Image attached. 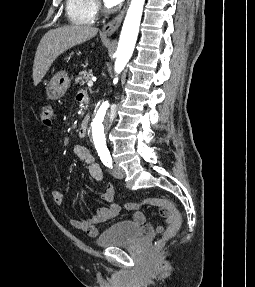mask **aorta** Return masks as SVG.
<instances>
[{
  "label": "aorta",
  "mask_w": 255,
  "mask_h": 287,
  "mask_svg": "<svg viewBox=\"0 0 255 287\" xmlns=\"http://www.w3.org/2000/svg\"><path fill=\"white\" fill-rule=\"evenodd\" d=\"M144 2L145 0H131L123 23L119 44L116 51L117 58L115 61L114 69L117 74H119L124 69L134 51ZM109 105V101H103L98 106L94 112V116L88 130V134H90V137L96 147L106 145V124Z\"/></svg>",
  "instance_id": "obj_1"
}]
</instances>
